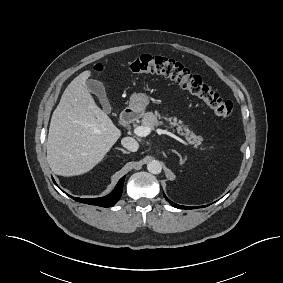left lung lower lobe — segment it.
<instances>
[{
  "mask_svg": "<svg viewBox=\"0 0 283 283\" xmlns=\"http://www.w3.org/2000/svg\"><path fill=\"white\" fill-rule=\"evenodd\" d=\"M164 197L166 198V200H167L172 206H174V207H176V208H179V209H194V208H197V207H188V206L178 205V204H176V203L170 201L165 195H164Z\"/></svg>",
  "mask_w": 283,
  "mask_h": 283,
  "instance_id": "obj_1",
  "label": "left lung lower lobe"
}]
</instances>
